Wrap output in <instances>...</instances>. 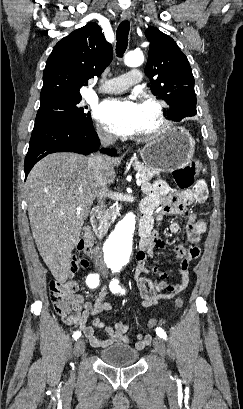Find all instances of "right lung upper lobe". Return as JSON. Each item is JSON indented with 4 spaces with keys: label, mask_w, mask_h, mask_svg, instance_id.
I'll return each instance as SVG.
<instances>
[{
    "label": "right lung upper lobe",
    "mask_w": 243,
    "mask_h": 409,
    "mask_svg": "<svg viewBox=\"0 0 243 409\" xmlns=\"http://www.w3.org/2000/svg\"><path fill=\"white\" fill-rule=\"evenodd\" d=\"M112 57V46L96 23L73 31L54 46L47 59L40 101L80 95V88L91 77L100 76Z\"/></svg>",
    "instance_id": "1"
}]
</instances>
